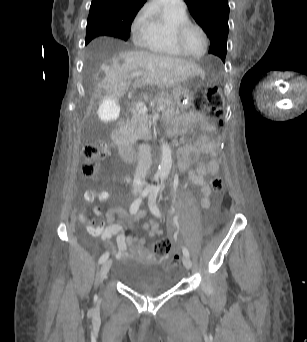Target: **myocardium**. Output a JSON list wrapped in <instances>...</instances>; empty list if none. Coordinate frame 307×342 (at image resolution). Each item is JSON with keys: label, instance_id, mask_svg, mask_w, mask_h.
I'll return each instance as SVG.
<instances>
[{"label": "myocardium", "instance_id": "myocardium-1", "mask_svg": "<svg viewBox=\"0 0 307 342\" xmlns=\"http://www.w3.org/2000/svg\"><path fill=\"white\" fill-rule=\"evenodd\" d=\"M192 26H198L203 34L204 37V51L203 53L198 56V57H194L192 55H190L186 48H185V44H184V38L186 35L187 30L192 27ZM174 43L176 45V47L178 48V50L189 60H193V61H199L202 60L208 53L209 51V35H208V31L205 27V25L197 20V19H193V18H188L185 19L181 22H179L174 29Z\"/></svg>", "mask_w": 307, "mask_h": 342}]
</instances>
